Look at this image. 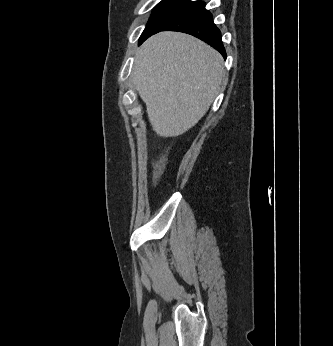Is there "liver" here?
<instances>
[{"label":"liver","instance_id":"1","mask_svg":"<svg viewBox=\"0 0 333 346\" xmlns=\"http://www.w3.org/2000/svg\"><path fill=\"white\" fill-rule=\"evenodd\" d=\"M223 75V58L216 50L177 32L147 39L133 68L134 86L161 137H176L192 128L215 99Z\"/></svg>","mask_w":333,"mask_h":346}]
</instances>
